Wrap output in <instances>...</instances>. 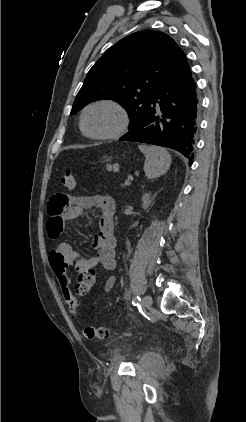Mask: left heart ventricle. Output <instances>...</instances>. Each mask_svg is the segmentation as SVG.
I'll use <instances>...</instances> for the list:
<instances>
[{"instance_id": "obj_1", "label": "left heart ventricle", "mask_w": 246, "mask_h": 422, "mask_svg": "<svg viewBox=\"0 0 246 422\" xmlns=\"http://www.w3.org/2000/svg\"><path fill=\"white\" fill-rule=\"evenodd\" d=\"M118 112L106 105L91 108L85 115V128L92 134H105L115 130L119 124Z\"/></svg>"}]
</instances>
